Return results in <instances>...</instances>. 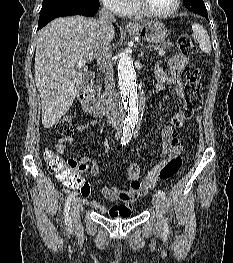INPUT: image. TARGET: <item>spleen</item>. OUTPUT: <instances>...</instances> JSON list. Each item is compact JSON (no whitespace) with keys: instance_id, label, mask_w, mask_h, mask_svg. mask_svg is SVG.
I'll use <instances>...</instances> for the list:
<instances>
[{"instance_id":"obj_1","label":"spleen","mask_w":233,"mask_h":263,"mask_svg":"<svg viewBox=\"0 0 233 263\" xmlns=\"http://www.w3.org/2000/svg\"><path fill=\"white\" fill-rule=\"evenodd\" d=\"M192 30L194 32V35L198 41L200 49L204 53H210L211 52V43L209 36L207 34V31L198 23H194L192 25Z\"/></svg>"}]
</instances>
